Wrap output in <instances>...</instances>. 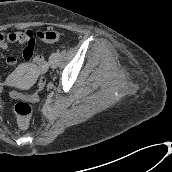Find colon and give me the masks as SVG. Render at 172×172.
Masks as SVG:
<instances>
[{
  "label": "colon",
  "mask_w": 172,
  "mask_h": 172,
  "mask_svg": "<svg viewBox=\"0 0 172 172\" xmlns=\"http://www.w3.org/2000/svg\"><path fill=\"white\" fill-rule=\"evenodd\" d=\"M66 34L62 31L47 30L44 34V40L47 42H54L60 38H65ZM35 63L41 69L45 68V61L43 56L38 55L34 58ZM46 83V78L41 77L38 81V90L30 95H20L15 91L10 92L13 98L19 99L14 105V114L20 128L26 129L29 125V118L33 113V102L39 99V93L42 91Z\"/></svg>",
  "instance_id": "obj_1"
}]
</instances>
